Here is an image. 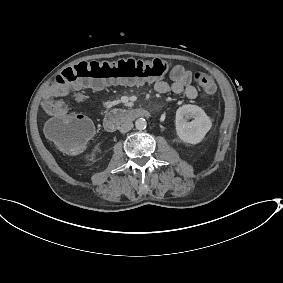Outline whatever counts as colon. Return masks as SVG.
<instances>
[{
	"label": "colon",
	"instance_id": "5ec220e1",
	"mask_svg": "<svg viewBox=\"0 0 283 283\" xmlns=\"http://www.w3.org/2000/svg\"><path fill=\"white\" fill-rule=\"evenodd\" d=\"M170 69V63L161 59L137 60L118 59L104 62H82L63 70L55 82L74 88L91 87L100 89L109 83L137 84L156 80ZM194 80L207 94L216 91L213 76L197 72ZM48 137L61 150L68 153L81 151L93 134L91 121L83 115L70 113L63 117H53L46 125Z\"/></svg>",
	"mask_w": 283,
	"mask_h": 283
}]
</instances>
